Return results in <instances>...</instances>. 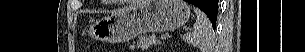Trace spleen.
Returning a JSON list of instances; mask_svg holds the SVG:
<instances>
[{
  "label": "spleen",
  "mask_w": 305,
  "mask_h": 52,
  "mask_svg": "<svg viewBox=\"0 0 305 52\" xmlns=\"http://www.w3.org/2000/svg\"><path fill=\"white\" fill-rule=\"evenodd\" d=\"M197 15L192 32L186 33L183 40L188 44L198 47L202 52H212L214 47V36L211 22L204 12L194 7Z\"/></svg>",
  "instance_id": "obj_1"
}]
</instances>
